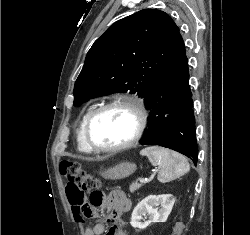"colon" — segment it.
I'll use <instances>...</instances> for the list:
<instances>
[{
  "label": "colon",
  "instance_id": "obj_1",
  "mask_svg": "<svg viewBox=\"0 0 250 235\" xmlns=\"http://www.w3.org/2000/svg\"><path fill=\"white\" fill-rule=\"evenodd\" d=\"M60 170L63 178L66 180V194L72 205L79 206L84 204L87 194L89 196V206L92 209L104 203L106 196L101 189L99 180L86 173L80 163L68 160L62 161Z\"/></svg>",
  "mask_w": 250,
  "mask_h": 235
}]
</instances>
